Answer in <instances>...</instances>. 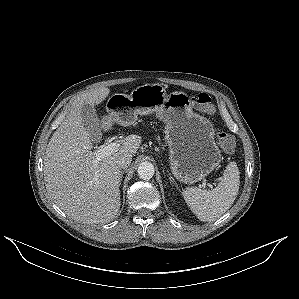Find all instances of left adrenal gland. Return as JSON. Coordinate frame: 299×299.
Instances as JSON below:
<instances>
[{
	"mask_svg": "<svg viewBox=\"0 0 299 299\" xmlns=\"http://www.w3.org/2000/svg\"><path fill=\"white\" fill-rule=\"evenodd\" d=\"M169 175H170V177H169L170 182H171L172 184H174V185L177 187L174 178L171 176V174H169Z\"/></svg>",
	"mask_w": 299,
	"mask_h": 299,
	"instance_id": "1",
	"label": "left adrenal gland"
}]
</instances>
